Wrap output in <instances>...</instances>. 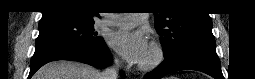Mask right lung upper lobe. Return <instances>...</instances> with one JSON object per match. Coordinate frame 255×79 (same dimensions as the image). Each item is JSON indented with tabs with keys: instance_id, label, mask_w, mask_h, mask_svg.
I'll return each mask as SVG.
<instances>
[{
	"instance_id": "1",
	"label": "right lung upper lobe",
	"mask_w": 255,
	"mask_h": 79,
	"mask_svg": "<svg viewBox=\"0 0 255 79\" xmlns=\"http://www.w3.org/2000/svg\"><path fill=\"white\" fill-rule=\"evenodd\" d=\"M41 20L72 17L84 21H94L99 16L93 0H49L45 4Z\"/></svg>"
}]
</instances>
